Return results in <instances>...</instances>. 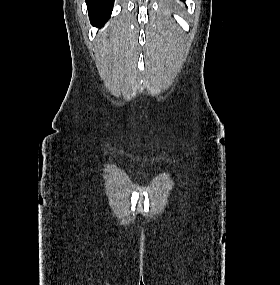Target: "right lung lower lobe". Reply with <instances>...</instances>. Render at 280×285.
Returning <instances> with one entry per match:
<instances>
[{
	"label": "right lung lower lobe",
	"mask_w": 280,
	"mask_h": 285,
	"mask_svg": "<svg viewBox=\"0 0 280 285\" xmlns=\"http://www.w3.org/2000/svg\"><path fill=\"white\" fill-rule=\"evenodd\" d=\"M86 4L92 25L100 28L110 18L114 0H86Z\"/></svg>",
	"instance_id": "98d812e1"
}]
</instances>
